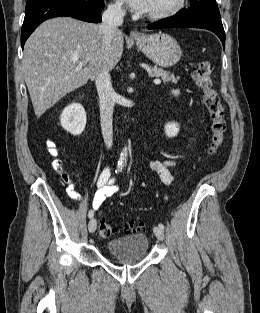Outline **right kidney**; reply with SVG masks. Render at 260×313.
I'll return each mask as SVG.
<instances>
[{
  "label": "right kidney",
  "mask_w": 260,
  "mask_h": 313,
  "mask_svg": "<svg viewBox=\"0 0 260 313\" xmlns=\"http://www.w3.org/2000/svg\"><path fill=\"white\" fill-rule=\"evenodd\" d=\"M61 126L72 135H80L86 126V112L82 105L73 103L64 108L60 116Z\"/></svg>",
  "instance_id": "right-kidney-1"
}]
</instances>
